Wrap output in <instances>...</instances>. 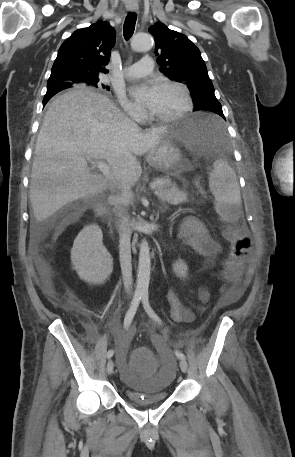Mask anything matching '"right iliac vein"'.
Masks as SVG:
<instances>
[{"label": "right iliac vein", "instance_id": "63e3f726", "mask_svg": "<svg viewBox=\"0 0 295 457\" xmlns=\"http://www.w3.org/2000/svg\"><path fill=\"white\" fill-rule=\"evenodd\" d=\"M113 369H114V363H113V361L110 359V360L108 361L107 367H106L107 373H108L109 375H111L112 372H113Z\"/></svg>", "mask_w": 295, "mask_h": 457}]
</instances>
